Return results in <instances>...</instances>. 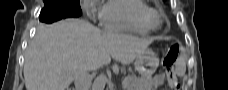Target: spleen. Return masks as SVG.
<instances>
[{"mask_svg":"<svg viewBox=\"0 0 228 90\" xmlns=\"http://www.w3.org/2000/svg\"><path fill=\"white\" fill-rule=\"evenodd\" d=\"M186 72V62L184 58H179L176 62V73L182 77Z\"/></svg>","mask_w":228,"mask_h":90,"instance_id":"spleen-1","label":"spleen"}]
</instances>
